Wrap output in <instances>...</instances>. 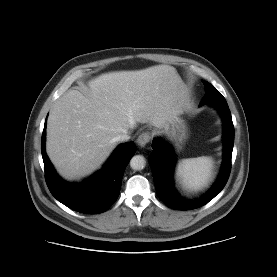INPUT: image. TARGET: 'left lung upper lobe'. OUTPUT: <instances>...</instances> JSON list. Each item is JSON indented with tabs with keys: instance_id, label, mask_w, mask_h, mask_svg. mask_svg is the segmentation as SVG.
I'll return each mask as SVG.
<instances>
[{
	"instance_id": "5c2ea615",
	"label": "left lung upper lobe",
	"mask_w": 277,
	"mask_h": 277,
	"mask_svg": "<svg viewBox=\"0 0 277 277\" xmlns=\"http://www.w3.org/2000/svg\"><path fill=\"white\" fill-rule=\"evenodd\" d=\"M203 84L205 85V95L202 98L200 105H204L207 103L211 104L217 101L225 100L222 94L217 89H215L210 83L203 81Z\"/></svg>"
}]
</instances>
